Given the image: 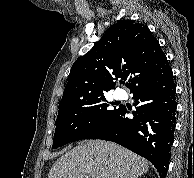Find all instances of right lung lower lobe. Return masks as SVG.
Instances as JSON below:
<instances>
[{"label":"right lung lower lobe","mask_w":194,"mask_h":178,"mask_svg":"<svg viewBox=\"0 0 194 178\" xmlns=\"http://www.w3.org/2000/svg\"><path fill=\"white\" fill-rule=\"evenodd\" d=\"M135 99L134 118L125 117L120 107L88 139H103L118 143L148 159L165 178L171 156L176 124V87L170 70L161 79L141 85L131 91Z\"/></svg>","instance_id":"98d812e1"}]
</instances>
